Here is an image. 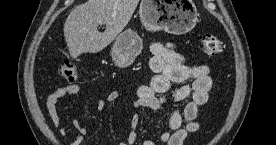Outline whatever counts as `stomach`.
Here are the masks:
<instances>
[{"label": "stomach", "mask_w": 276, "mask_h": 145, "mask_svg": "<svg viewBox=\"0 0 276 145\" xmlns=\"http://www.w3.org/2000/svg\"><path fill=\"white\" fill-rule=\"evenodd\" d=\"M139 14L147 30H164L178 35L191 31L198 21L193 0H142ZM142 47L143 41L139 35L127 29L117 36L111 50L112 59L118 67H128Z\"/></svg>", "instance_id": "0dacf381"}]
</instances>
